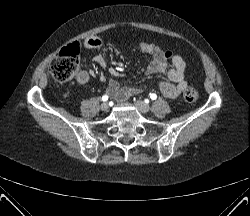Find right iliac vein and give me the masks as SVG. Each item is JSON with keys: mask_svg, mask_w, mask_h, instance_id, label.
Listing matches in <instances>:
<instances>
[{"mask_svg": "<svg viewBox=\"0 0 250 216\" xmlns=\"http://www.w3.org/2000/svg\"><path fill=\"white\" fill-rule=\"evenodd\" d=\"M100 108H101L102 111H107L108 108H109V105H108L107 102H104V103L101 104Z\"/></svg>", "mask_w": 250, "mask_h": 216, "instance_id": "63e3f726", "label": "right iliac vein"}]
</instances>
